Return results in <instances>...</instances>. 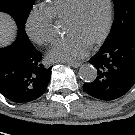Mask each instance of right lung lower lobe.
<instances>
[{"mask_svg": "<svg viewBox=\"0 0 135 135\" xmlns=\"http://www.w3.org/2000/svg\"><path fill=\"white\" fill-rule=\"evenodd\" d=\"M42 54L30 43L18 27L16 40L0 48V93L15 103H28L42 96L51 77L52 67L46 68Z\"/></svg>", "mask_w": 135, "mask_h": 135, "instance_id": "obj_1", "label": "right lung lower lobe"}]
</instances>
